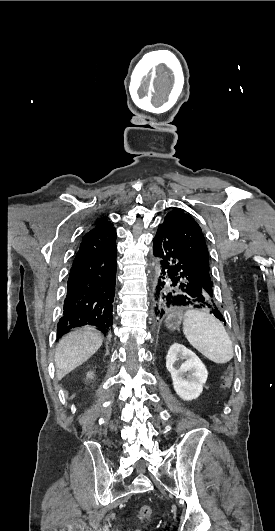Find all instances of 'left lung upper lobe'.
Masks as SVG:
<instances>
[{"label": "left lung upper lobe", "instance_id": "1", "mask_svg": "<svg viewBox=\"0 0 275 531\" xmlns=\"http://www.w3.org/2000/svg\"><path fill=\"white\" fill-rule=\"evenodd\" d=\"M163 224H166L178 239L201 285L212 294L213 282L209 275L208 249L198 223L190 215L175 209L166 215Z\"/></svg>", "mask_w": 275, "mask_h": 531}]
</instances>
